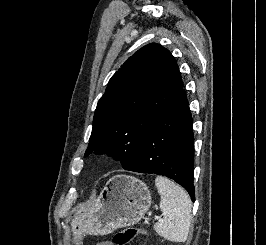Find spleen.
<instances>
[{"label":"spleen","instance_id":"obj_1","mask_svg":"<svg viewBox=\"0 0 266 245\" xmlns=\"http://www.w3.org/2000/svg\"><path fill=\"white\" fill-rule=\"evenodd\" d=\"M155 185L161 197L162 219L154 225V231L171 243H185L191 223V199L182 189L166 177H156Z\"/></svg>","mask_w":266,"mask_h":245}]
</instances>
